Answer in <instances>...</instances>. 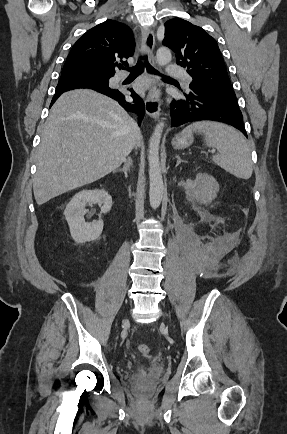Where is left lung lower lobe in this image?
I'll return each mask as SVG.
<instances>
[{
	"label": "left lung lower lobe",
	"mask_w": 287,
	"mask_h": 434,
	"mask_svg": "<svg viewBox=\"0 0 287 434\" xmlns=\"http://www.w3.org/2000/svg\"><path fill=\"white\" fill-rule=\"evenodd\" d=\"M190 89L186 100H174L171 103V127L191 121L215 120L234 126L247 136L235 94L197 85H191Z\"/></svg>",
	"instance_id": "obj_1"
}]
</instances>
